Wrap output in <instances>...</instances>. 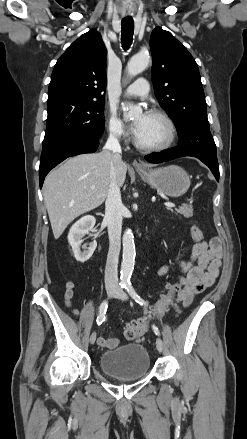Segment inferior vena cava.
Segmentation results:
<instances>
[{
	"label": "inferior vena cava",
	"mask_w": 247,
	"mask_h": 439,
	"mask_svg": "<svg viewBox=\"0 0 247 439\" xmlns=\"http://www.w3.org/2000/svg\"><path fill=\"white\" fill-rule=\"evenodd\" d=\"M105 150L112 151L113 158L109 168V189L105 203L104 220L108 226L109 251L105 268V287L118 289V258L121 248V229L123 204L121 201L120 187L116 180L115 165L121 161V146L112 133L104 146Z\"/></svg>",
	"instance_id": "1"
}]
</instances>
